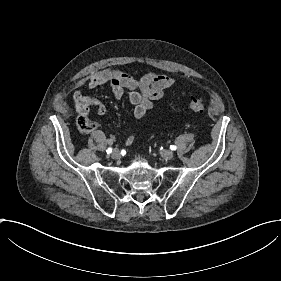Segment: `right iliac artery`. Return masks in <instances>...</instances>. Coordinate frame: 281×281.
I'll use <instances>...</instances> for the list:
<instances>
[{
  "instance_id": "right-iliac-artery-1",
  "label": "right iliac artery",
  "mask_w": 281,
  "mask_h": 281,
  "mask_svg": "<svg viewBox=\"0 0 281 281\" xmlns=\"http://www.w3.org/2000/svg\"><path fill=\"white\" fill-rule=\"evenodd\" d=\"M106 152H107V154H110V153L112 152V148H108V149L106 150Z\"/></svg>"
}]
</instances>
